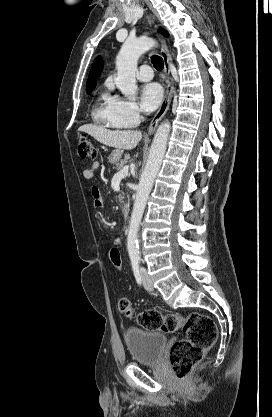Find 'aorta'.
Returning <instances> with one entry per match:
<instances>
[{"mask_svg":"<svg viewBox=\"0 0 272 417\" xmlns=\"http://www.w3.org/2000/svg\"><path fill=\"white\" fill-rule=\"evenodd\" d=\"M156 45L155 40L149 37L127 39L116 57L117 77L115 80L118 89L126 96H132L137 91L136 71L139 57ZM170 123L163 122L159 125L150 151L146 166L137 186L136 199L133 206L127 237V250L132 262L140 259L138 247V230L144 213L149 193L153 187L155 178L160 170L166 151L170 134Z\"/></svg>","mask_w":272,"mask_h":417,"instance_id":"obj_1","label":"aorta"}]
</instances>
